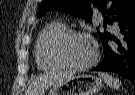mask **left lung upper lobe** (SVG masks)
<instances>
[{
	"label": "left lung upper lobe",
	"instance_id": "1",
	"mask_svg": "<svg viewBox=\"0 0 135 95\" xmlns=\"http://www.w3.org/2000/svg\"><path fill=\"white\" fill-rule=\"evenodd\" d=\"M52 9L75 14L88 22L94 14L101 13L105 17L104 25H112L114 21L119 23L135 12V0H44L39 17ZM98 35L102 41L110 33L104 31L98 32Z\"/></svg>",
	"mask_w": 135,
	"mask_h": 95
}]
</instances>
